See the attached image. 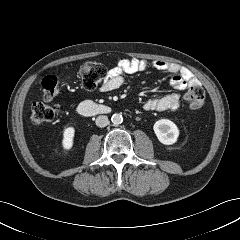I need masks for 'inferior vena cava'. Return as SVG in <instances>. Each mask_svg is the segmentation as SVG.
<instances>
[{
    "label": "inferior vena cava",
    "instance_id": "1",
    "mask_svg": "<svg viewBox=\"0 0 240 240\" xmlns=\"http://www.w3.org/2000/svg\"><path fill=\"white\" fill-rule=\"evenodd\" d=\"M96 125L98 127H105L108 125L109 123V120H108V117L107 116H104V115H100L96 118V121H95Z\"/></svg>",
    "mask_w": 240,
    "mask_h": 240
}]
</instances>
